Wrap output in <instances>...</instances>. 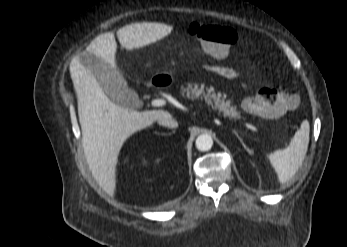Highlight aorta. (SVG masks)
Wrapping results in <instances>:
<instances>
[{"label": "aorta", "mask_w": 347, "mask_h": 247, "mask_svg": "<svg viewBox=\"0 0 347 247\" xmlns=\"http://www.w3.org/2000/svg\"><path fill=\"white\" fill-rule=\"evenodd\" d=\"M213 140L210 135L202 134L196 139V148L199 151H209L212 148Z\"/></svg>", "instance_id": "obj_1"}]
</instances>
